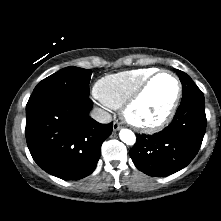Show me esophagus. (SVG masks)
Here are the masks:
<instances>
[{
    "label": "esophagus",
    "mask_w": 221,
    "mask_h": 221,
    "mask_svg": "<svg viewBox=\"0 0 221 221\" xmlns=\"http://www.w3.org/2000/svg\"><path fill=\"white\" fill-rule=\"evenodd\" d=\"M121 128H122V126H121V123H120V122L115 121V122L113 123V130H114V131H118V130H120Z\"/></svg>",
    "instance_id": "esophagus-1"
}]
</instances>
